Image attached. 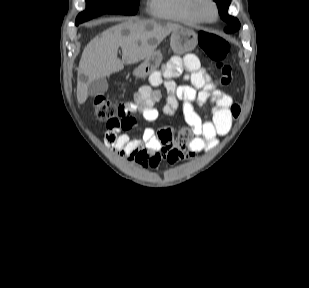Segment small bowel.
Segmentation results:
<instances>
[{
  "label": "small bowel",
  "mask_w": 309,
  "mask_h": 288,
  "mask_svg": "<svg viewBox=\"0 0 309 288\" xmlns=\"http://www.w3.org/2000/svg\"><path fill=\"white\" fill-rule=\"evenodd\" d=\"M182 73L188 83L177 85L173 78ZM160 85L167 92L162 114L175 115L181 104L189 129L181 128L175 137L167 129L146 128L141 137L132 138L121 132L133 125L110 121L104 137L107 148L143 168L156 169L163 160L176 165L185 157L195 158L199 153L208 152L217 146L220 137L229 133L232 125L231 96L216 89L195 54L172 57L163 73L154 75L149 85L141 86L132 101L124 104L125 108L130 113H141L148 122L156 121L161 113L155 106L162 97ZM194 105H210L211 118L202 121Z\"/></svg>",
  "instance_id": "obj_1"
}]
</instances>
